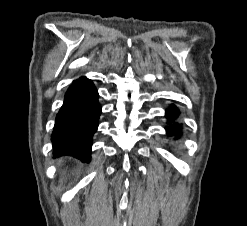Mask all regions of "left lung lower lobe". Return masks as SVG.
I'll return each mask as SVG.
<instances>
[{"label": "left lung lower lobe", "instance_id": "obj_1", "mask_svg": "<svg viewBox=\"0 0 247 226\" xmlns=\"http://www.w3.org/2000/svg\"><path fill=\"white\" fill-rule=\"evenodd\" d=\"M179 112L176 108H170L167 110L166 116L170 121H173L177 118ZM180 125H173L172 127H167V132L170 135H176L180 132Z\"/></svg>", "mask_w": 247, "mask_h": 226}]
</instances>
